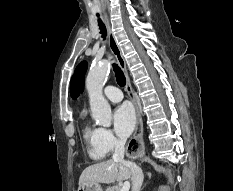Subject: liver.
<instances>
[{
	"instance_id": "1",
	"label": "liver",
	"mask_w": 233,
	"mask_h": 191,
	"mask_svg": "<svg viewBox=\"0 0 233 191\" xmlns=\"http://www.w3.org/2000/svg\"><path fill=\"white\" fill-rule=\"evenodd\" d=\"M131 176L128 166L113 160L91 165L83 170L79 178V186L93 183L111 184L115 181L127 180Z\"/></svg>"
}]
</instances>
